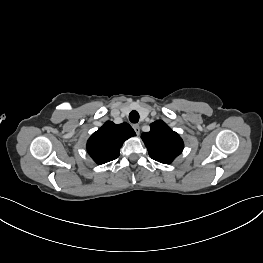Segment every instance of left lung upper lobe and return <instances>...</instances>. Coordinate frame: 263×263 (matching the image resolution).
Instances as JSON below:
<instances>
[{"label":"left lung upper lobe","instance_id":"5c2ea615","mask_svg":"<svg viewBox=\"0 0 263 263\" xmlns=\"http://www.w3.org/2000/svg\"><path fill=\"white\" fill-rule=\"evenodd\" d=\"M150 127L149 132L141 135L150 157L160 163H171L184 148L181 137L162 120L153 122Z\"/></svg>","mask_w":263,"mask_h":263}]
</instances>
